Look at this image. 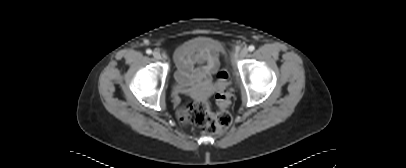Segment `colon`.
Masks as SVG:
<instances>
[{"label":"colon","instance_id":"5ec220e1","mask_svg":"<svg viewBox=\"0 0 406 168\" xmlns=\"http://www.w3.org/2000/svg\"><path fill=\"white\" fill-rule=\"evenodd\" d=\"M231 100L228 74L222 69L217 73V105L224 109L231 103ZM178 116L182 122L193 124L209 135L227 129L232 123V116L228 111L212 112L209 103L200 98L189 101L179 110Z\"/></svg>","mask_w":406,"mask_h":168}]
</instances>
